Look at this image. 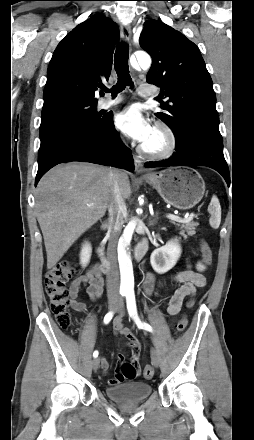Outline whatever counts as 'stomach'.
Returning a JSON list of instances; mask_svg holds the SVG:
<instances>
[{"label": "stomach", "mask_w": 254, "mask_h": 440, "mask_svg": "<svg viewBox=\"0 0 254 440\" xmlns=\"http://www.w3.org/2000/svg\"><path fill=\"white\" fill-rule=\"evenodd\" d=\"M165 202L177 209H190L197 205L205 192L200 173L188 167H173L144 176Z\"/></svg>", "instance_id": "obj_1"}]
</instances>
